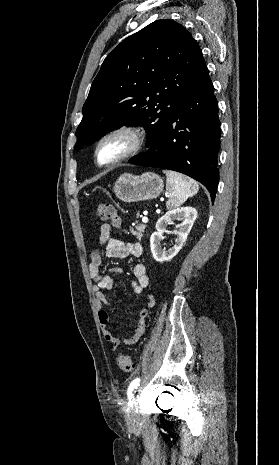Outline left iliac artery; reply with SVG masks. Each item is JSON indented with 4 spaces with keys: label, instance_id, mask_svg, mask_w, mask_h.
I'll return each mask as SVG.
<instances>
[{
    "label": "left iliac artery",
    "instance_id": "obj_1",
    "mask_svg": "<svg viewBox=\"0 0 279 465\" xmlns=\"http://www.w3.org/2000/svg\"><path fill=\"white\" fill-rule=\"evenodd\" d=\"M139 382H140V379L137 378V379L133 380V381L131 382V384L129 385V388H128V398H129V399L132 398V396H133V391H134L135 388H137Z\"/></svg>",
    "mask_w": 279,
    "mask_h": 465
}]
</instances>
